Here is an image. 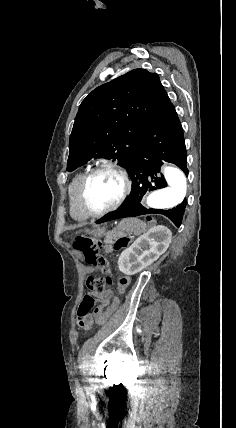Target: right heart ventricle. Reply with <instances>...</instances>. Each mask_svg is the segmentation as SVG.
Listing matches in <instances>:
<instances>
[{
    "instance_id": "1",
    "label": "right heart ventricle",
    "mask_w": 236,
    "mask_h": 428,
    "mask_svg": "<svg viewBox=\"0 0 236 428\" xmlns=\"http://www.w3.org/2000/svg\"><path fill=\"white\" fill-rule=\"evenodd\" d=\"M85 175V171L75 173L67 185V196L70 211L72 216L78 221H86L90 217L83 210L79 201V186Z\"/></svg>"
}]
</instances>
